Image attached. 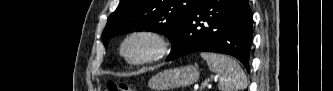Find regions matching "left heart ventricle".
I'll return each mask as SVG.
<instances>
[{
    "label": "left heart ventricle",
    "mask_w": 333,
    "mask_h": 91,
    "mask_svg": "<svg viewBox=\"0 0 333 91\" xmlns=\"http://www.w3.org/2000/svg\"><path fill=\"white\" fill-rule=\"evenodd\" d=\"M149 51L150 45L143 39H134L129 42L125 48V53L132 59L139 58Z\"/></svg>",
    "instance_id": "obj_1"
}]
</instances>
